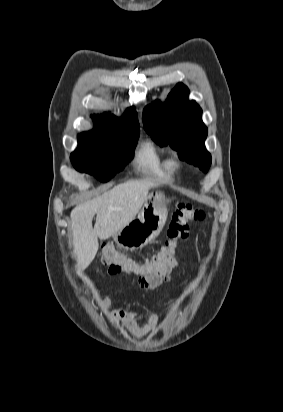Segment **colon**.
Listing matches in <instances>:
<instances>
[{
	"mask_svg": "<svg viewBox=\"0 0 283 412\" xmlns=\"http://www.w3.org/2000/svg\"><path fill=\"white\" fill-rule=\"evenodd\" d=\"M205 212L191 204H180L172 214L167 241L150 259L136 262L105 244L101 248V261L109 266L110 274H131L138 278L159 281L171 270L178 244L189 237L191 224H205Z\"/></svg>",
	"mask_w": 283,
	"mask_h": 412,
	"instance_id": "obj_1",
	"label": "colon"
}]
</instances>
